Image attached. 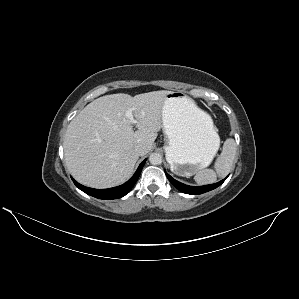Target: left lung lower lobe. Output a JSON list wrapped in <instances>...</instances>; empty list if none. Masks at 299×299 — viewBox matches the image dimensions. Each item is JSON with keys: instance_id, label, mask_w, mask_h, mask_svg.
<instances>
[{"instance_id": "left-lung-lower-lobe-1", "label": "left lung lower lobe", "mask_w": 299, "mask_h": 299, "mask_svg": "<svg viewBox=\"0 0 299 299\" xmlns=\"http://www.w3.org/2000/svg\"><path fill=\"white\" fill-rule=\"evenodd\" d=\"M166 173V172H165ZM167 178L169 179V181L181 192L186 193V194H191V195H198V194H202L205 192H208L210 190H213L215 188H217L218 186H220L225 179L221 180L218 183L215 184H210V185H205V186H198V187H193V186H188L185 184H182L178 181H176L175 179H173L168 173H166Z\"/></svg>"}]
</instances>
